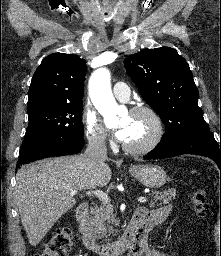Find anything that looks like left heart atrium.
Returning <instances> with one entry per match:
<instances>
[{
	"label": "left heart atrium",
	"mask_w": 221,
	"mask_h": 256,
	"mask_svg": "<svg viewBox=\"0 0 221 256\" xmlns=\"http://www.w3.org/2000/svg\"><path fill=\"white\" fill-rule=\"evenodd\" d=\"M129 135V127L122 126L119 130L116 131L115 136L120 141H125Z\"/></svg>",
	"instance_id": "obj_1"
}]
</instances>
